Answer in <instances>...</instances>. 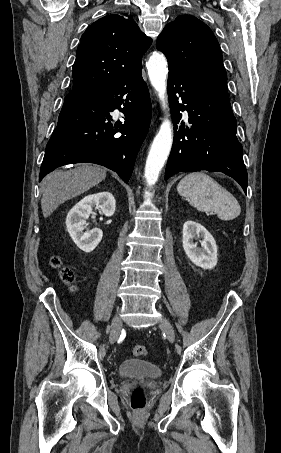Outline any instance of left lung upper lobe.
Returning <instances> with one entry per match:
<instances>
[{"label":"left lung upper lobe","mask_w":281,"mask_h":453,"mask_svg":"<svg viewBox=\"0 0 281 453\" xmlns=\"http://www.w3.org/2000/svg\"><path fill=\"white\" fill-rule=\"evenodd\" d=\"M156 45L166 55L169 68L192 78L227 81L217 39L198 18L178 16L165 26Z\"/></svg>","instance_id":"left-lung-upper-lobe-1"}]
</instances>
